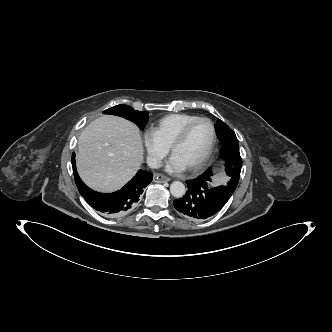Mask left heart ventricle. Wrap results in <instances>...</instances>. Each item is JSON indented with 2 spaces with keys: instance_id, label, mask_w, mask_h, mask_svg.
<instances>
[{
  "instance_id": "left-heart-ventricle-1",
  "label": "left heart ventricle",
  "mask_w": 332,
  "mask_h": 332,
  "mask_svg": "<svg viewBox=\"0 0 332 332\" xmlns=\"http://www.w3.org/2000/svg\"><path fill=\"white\" fill-rule=\"evenodd\" d=\"M212 139V129L208 122L200 121L189 130L185 140L175 148L176 156L186 168L196 163L206 152Z\"/></svg>"
}]
</instances>
